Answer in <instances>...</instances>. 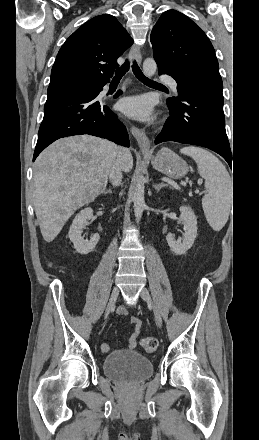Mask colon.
I'll return each instance as SVG.
<instances>
[{
    "mask_svg": "<svg viewBox=\"0 0 259 440\" xmlns=\"http://www.w3.org/2000/svg\"><path fill=\"white\" fill-rule=\"evenodd\" d=\"M141 346L146 352L152 353L158 348V340L154 337H145L141 341Z\"/></svg>",
    "mask_w": 259,
    "mask_h": 440,
    "instance_id": "1",
    "label": "colon"
}]
</instances>
